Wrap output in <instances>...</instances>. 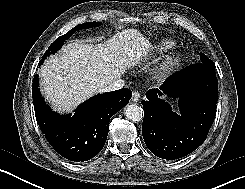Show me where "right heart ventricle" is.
Wrapping results in <instances>:
<instances>
[{"label":"right heart ventricle","instance_id":"e07e8e85","mask_svg":"<svg viewBox=\"0 0 245 189\" xmlns=\"http://www.w3.org/2000/svg\"><path fill=\"white\" fill-rule=\"evenodd\" d=\"M173 47V43L172 42H168V41H165V42H162L161 44H159L157 46V49L159 52H163V51H166L170 48Z\"/></svg>","mask_w":245,"mask_h":189}]
</instances>
